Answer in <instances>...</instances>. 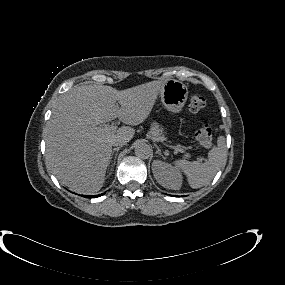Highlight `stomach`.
Returning <instances> with one entry per match:
<instances>
[{
	"label": "stomach",
	"instance_id": "obj_1",
	"mask_svg": "<svg viewBox=\"0 0 285 285\" xmlns=\"http://www.w3.org/2000/svg\"><path fill=\"white\" fill-rule=\"evenodd\" d=\"M162 104L171 113L182 111L187 98L188 89L185 84L179 80H167L159 92Z\"/></svg>",
	"mask_w": 285,
	"mask_h": 285
}]
</instances>
